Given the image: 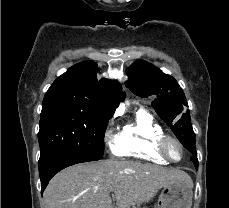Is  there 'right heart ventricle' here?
I'll use <instances>...</instances> for the list:
<instances>
[{"mask_svg": "<svg viewBox=\"0 0 229 208\" xmlns=\"http://www.w3.org/2000/svg\"><path fill=\"white\" fill-rule=\"evenodd\" d=\"M166 135L164 128L146 110L135 112L116 136L113 151L116 155L147 163L168 165L170 160L157 153L158 144Z\"/></svg>", "mask_w": 229, "mask_h": 208, "instance_id": "1", "label": "right heart ventricle"}]
</instances>
